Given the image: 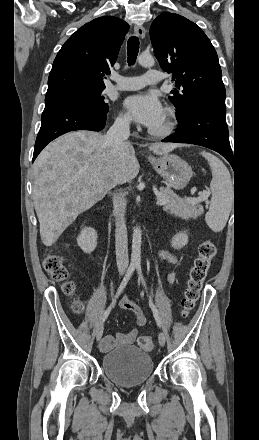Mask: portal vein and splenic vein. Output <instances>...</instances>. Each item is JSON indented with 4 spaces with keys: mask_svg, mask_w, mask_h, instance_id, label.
<instances>
[{
    "mask_svg": "<svg viewBox=\"0 0 259 440\" xmlns=\"http://www.w3.org/2000/svg\"><path fill=\"white\" fill-rule=\"evenodd\" d=\"M193 191H196V188H194ZM156 195L158 197V199H157L158 206H163L164 204L167 203L168 199L165 197H162L161 193H156ZM208 197H209V192L204 191L200 194V196L198 198H186L185 200L188 202L194 203V202L205 201L208 199Z\"/></svg>",
    "mask_w": 259,
    "mask_h": 440,
    "instance_id": "obj_1",
    "label": "portal vein and splenic vein"
}]
</instances>
